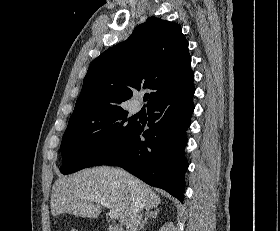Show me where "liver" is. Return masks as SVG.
Returning a JSON list of instances; mask_svg holds the SVG:
<instances>
[{"mask_svg": "<svg viewBox=\"0 0 280 231\" xmlns=\"http://www.w3.org/2000/svg\"><path fill=\"white\" fill-rule=\"evenodd\" d=\"M128 179H136L119 167H92L81 169L72 175H61L56 179L51 193V213H73L80 217H98L102 211L101 201H109L105 207H118L121 225H126L131 213V185ZM138 181L137 197L143 207L150 211L161 199L147 183Z\"/></svg>", "mask_w": 280, "mask_h": 231, "instance_id": "1", "label": "liver"}]
</instances>
